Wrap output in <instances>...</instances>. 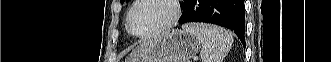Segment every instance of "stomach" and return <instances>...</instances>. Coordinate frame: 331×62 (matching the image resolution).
I'll return each instance as SVG.
<instances>
[{
  "mask_svg": "<svg viewBox=\"0 0 331 62\" xmlns=\"http://www.w3.org/2000/svg\"><path fill=\"white\" fill-rule=\"evenodd\" d=\"M201 42L184 30H170L138 45L131 62H188L197 54Z\"/></svg>",
  "mask_w": 331,
  "mask_h": 62,
  "instance_id": "obj_1",
  "label": "stomach"
}]
</instances>
